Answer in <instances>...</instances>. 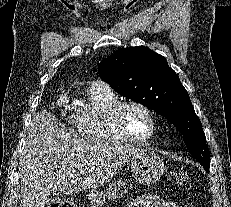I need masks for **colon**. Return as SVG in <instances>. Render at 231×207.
<instances>
[{"mask_svg":"<svg viewBox=\"0 0 231 207\" xmlns=\"http://www.w3.org/2000/svg\"><path fill=\"white\" fill-rule=\"evenodd\" d=\"M174 179L177 185L183 188H189L191 186L190 176L185 171H177L174 173ZM49 207H76L72 200H64Z\"/></svg>","mask_w":231,"mask_h":207,"instance_id":"colon-1","label":"colon"}]
</instances>
